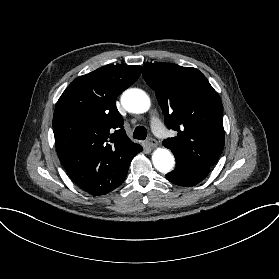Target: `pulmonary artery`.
<instances>
[{
    "mask_svg": "<svg viewBox=\"0 0 279 279\" xmlns=\"http://www.w3.org/2000/svg\"><path fill=\"white\" fill-rule=\"evenodd\" d=\"M146 122L149 124L150 128L153 129L154 133L156 134L157 138L165 139L168 136V131L165 129L163 123L157 119L156 115L149 114L146 117Z\"/></svg>",
    "mask_w": 279,
    "mask_h": 279,
    "instance_id": "pulmonary-artery-1",
    "label": "pulmonary artery"
}]
</instances>
